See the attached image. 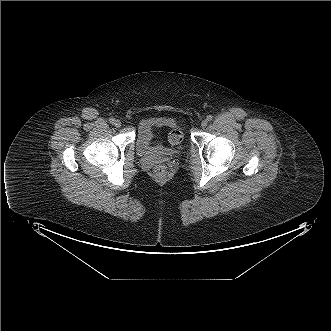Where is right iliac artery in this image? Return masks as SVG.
Segmentation results:
<instances>
[{
	"mask_svg": "<svg viewBox=\"0 0 331 331\" xmlns=\"http://www.w3.org/2000/svg\"><path fill=\"white\" fill-rule=\"evenodd\" d=\"M114 121H115V119H114V118H112V117L109 119V122H110L111 124H113V123H114Z\"/></svg>",
	"mask_w": 331,
	"mask_h": 331,
	"instance_id": "right-iliac-artery-1",
	"label": "right iliac artery"
}]
</instances>
